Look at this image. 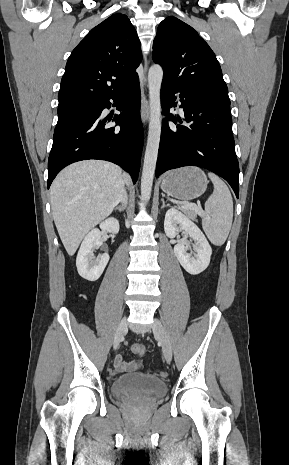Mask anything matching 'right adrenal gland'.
<instances>
[{
	"label": "right adrenal gland",
	"instance_id": "1",
	"mask_svg": "<svg viewBox=\"0 0 289 465\" xmlns=\"http://www.w3.org/2000/svg\"><path fill=\"white\" fill-rule=\"evenodd\" d=\"M125 208H126V205H122V206L116 207L114 210L119 211V212H123L125 210Z\"/></svg>",
	"mask_w": 289,
	"mask_h": 465
}]
</instances>
